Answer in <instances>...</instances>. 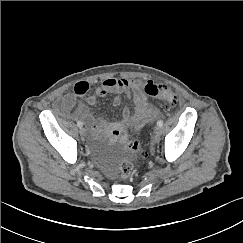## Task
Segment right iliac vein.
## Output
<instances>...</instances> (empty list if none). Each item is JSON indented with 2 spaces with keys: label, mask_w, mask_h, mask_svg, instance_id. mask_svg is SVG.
Masks as SVG:
<instances>
[{
  "label": "right iliac vein",
  "mask_w": 243,
  "mask_h": 243,
  "mask_svg": "<svg viewBox=\"0 0 243 243\" xmlns=\"http://www.w3.org/2000/svg\"><path fill=\"white\" fill-rule=\"evenodd\" d=\"M79 133L81 136H86V129L84 127H80Z\"/></svg>",
  "instance_id": "right-iliac-vein-1"
}]
</instances>
